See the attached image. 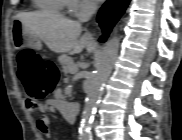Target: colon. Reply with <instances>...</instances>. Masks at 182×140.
Instances as JSON below:
<instances>
[{"label": "colon", "instance_id": "colon-1", "mask_svg": "<svg viewBox=\"0 0 182 140\" xmlns=\"http://www.w3.org/2000/svg\"><path fill=\"white\" fill-rule=\"evenodd\" d=\"M17 60L18 75L28 98L37 103L52 91L57 79L56 67L31 49L21 50Z\"/></svg>", "mask_w": 182, "mask_h": 140}]
</instances>
